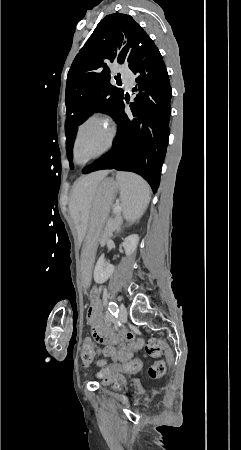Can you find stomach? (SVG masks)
Masks as SVG:
<instances>
[{
	"label": "stomach",
	"instance_id": "0dacf381",
	"mask_svg": "<svg viewBox=\"0 0 241 450\" xmlns=\"http://www.w3.org/2000/svg\"><path fill=\"white\" fill-rule=\"evenodd\" d=\"M119 184L112 178H104L94 194L92 201L90 221L85 241L81 251L80 283L88 287L90 283L92 266L102 231L105 227L108 213L116 198Z\"/></svg>",
	"mask_w": 241,
	"mask_h": 450
}]
</instances>
